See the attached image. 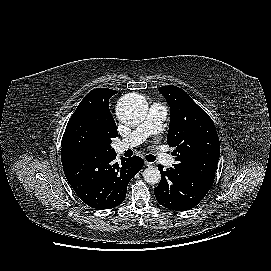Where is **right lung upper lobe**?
<instances>
[{
  "instance_id": "1",
  "label": "right lung upper lobe",
  "mask_w": 271,
  "mask_h": 271,
  "mask_svg": "<svg viewBox=\"0 0 271 271\" xmlns=\"http://www.w3.org/2000/svg\"><path fill=\"white\" fill-rule=\"evenodd\" d=\"M115 90H111L108 88H97L90 91L85 98L78 105L77 111H88L91 110L96 104H98L106 94L112 93Z\"/></svg>"
}]
</instances>
